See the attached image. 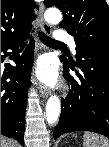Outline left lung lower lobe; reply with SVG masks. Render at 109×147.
I'll list each match as a JSON object with an SVG mask.
<instances>
[{"mask_svg":"<svg viewBox=\"0 0 109 147\" xmlns=\"http://www.w3.org/2000/svg\"><path fill=\"white\" fill-rule=\"evenodd\" d=\"M64 77L72 91L62 101L54 139L64 133L91 131L109 138V52L93 47L76 48V62L63 57ZM76 72L70 76L67 70Z\"/></svg>","mask_w":109,"mask_h":147,"instance_id":"1","label":"left lung lower lobe"}]
</instances>
